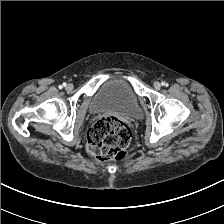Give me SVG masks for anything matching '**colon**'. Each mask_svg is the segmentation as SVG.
Listing matches in <instances>:
<instances>
[{
  "mask_svg": "<svg viewBox=\"0 0 224 224\" xmlns=\"http://www.w3.org/2000/svg\"><path fill=\"white\" fill-rule=\"evenodd\" d=\"M131 130L114 116L99 118L88 134V152L100 161H119L127 154Z\"/></svg>",
  "mask_w": 224,
  "mask_h": 224,
  "instance_id": "colon-1",
  "label": "colon"
}]
</instances>
